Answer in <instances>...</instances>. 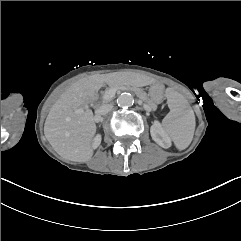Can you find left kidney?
<instances>
[{
  "label": "left kidney",
  "instance_id": "5707ae66",
  "mask_svg": "<svg viewBox=\"0 0 241 241\" xmlns=\"http://www.w3.org/2000/svg\"><path fill=\"white\" fill-rule=\"evenodd\" d=\"M152 139L162 148L171 147V139L158 121H154L150 129Z\"/></svg>",
  "mask_w": 241,
  "mask_h": 241
}]
</instances>
